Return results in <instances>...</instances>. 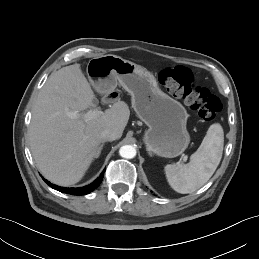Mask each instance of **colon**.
Masks as SVG:
<instances>
[{"label":"colon","mask_w":259,"mask_h":259,"mask_svg":"<svg viewBox=\"0 0 259 259\" xmlns=\"http://www.w3.org/2000/svg\"><path fill=\"white\" fill-rule=\"evenodd\" d=\"M160 85L182 99L204 121H212L221 111V102L207 89L195 85L193 72L184 66H168L158 75Z\"/></svg>","instance_id":"colon-1"}]
</instances>
